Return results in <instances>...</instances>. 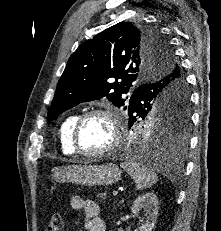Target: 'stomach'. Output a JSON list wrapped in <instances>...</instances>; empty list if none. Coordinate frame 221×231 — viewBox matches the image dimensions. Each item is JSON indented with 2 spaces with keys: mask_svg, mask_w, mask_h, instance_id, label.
I'll return each mask as SVG.
<instances>
[{
  "mask_svg": "<svg viewBox=\"0 0 221 231\" xmlns=\"http://www.w3.org/2000/svg\"><path fill=\"white\" fill-rule=\"evenodd\" d=\"M52 171V178L59 183L72 182L83 186H108L121 180V171L114 164L69 165L56 167Z\"/></svg>",
  "mask_w": 221,
  "mask_h": 231,
  "instance_id": "stomach-1",
  "label": "stomach"
}]
</instances>
